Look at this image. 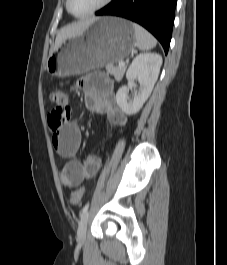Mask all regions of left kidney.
<instances>
[{
    "instance_id": "5707ae66",
    "label": "left kidney",
    "mask_w": 227,
    "mask_h": 265,
    "mask_svg": "<svg viewBox=\"0 0 227 265\" xmlns=\"http://www.w3.org/2000/svg\"><path fill=\"white\" fill-rule=\"evenodd\" d=\"M162 57L156 53H142L135 57L126 73L128 81L137 79L140 88L133 99L128 97V87L122 86L116 94V102L127 115L136 114L150 96L157 81Z\"/></svg>"
}]
</instances>
